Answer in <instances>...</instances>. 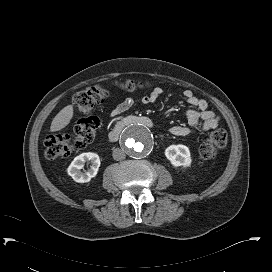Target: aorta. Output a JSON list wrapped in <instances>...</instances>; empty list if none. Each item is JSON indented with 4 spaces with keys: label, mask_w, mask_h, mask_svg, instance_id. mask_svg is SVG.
I'll use <instances>...</instances> for the list:
<instances>
[{
    "label": "aorta",
    "mask_w": 272,
    "mask_h": 272,
    "mask_svg": "<svg viewBox=\"0 0 272 272\" xmlns=\"http://www.w3.org/2000/svg\"><path fill=\"white\" fill-rule=\"evenodd\" d=\"M121 144L130 157L142 158L152 151L154 137L148 128L135 124L124 131Z\"/></svg>",
    "instance_id": "aorta-1"
}]
</instances>
